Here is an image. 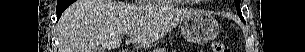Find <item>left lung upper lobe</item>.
I'll list each match as a JSON object with an SVG mask.
<instances>
[{
	"label": "left lung upper lobe",
	"instance_id": "obj_1",
	"mask_svg": "<svg viewBox=\"0 0 305 52\" xmlns=\"http://www.w3.org/2000/svg\"><path fill=\"white\" fill-rule=\"evenodd\" d=\"M239 6H240V0H236V9H237V12H238L240 18L242 19L243 17H242V13L239 9Z\"/></svg>",
	"mask_w": 305,
	"mask_h": 52
}]
</instances>
